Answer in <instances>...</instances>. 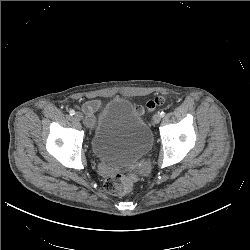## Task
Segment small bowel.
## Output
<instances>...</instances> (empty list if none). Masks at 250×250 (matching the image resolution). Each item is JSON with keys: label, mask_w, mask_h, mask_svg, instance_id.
I'll return each instance as SVG.
<instances>
[{"label": "small bowel", "mask_w": 250, "mask_h": 250, "mask_svg": "<svg viewBox=\"0 0 250 250\" xmlns=\"http://www.w3.org/2000/svg\"><path fill=\"white\" fill-rule=\"evenodd\" d=\"M102 103L99 100L93 99L85 102L82 110L86 116V123L91 126L94 123V115L101 108Z\"/></svg>", "instance_id": "obj_1"}]
</instances>
